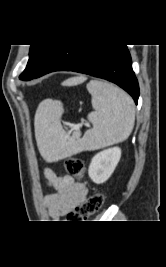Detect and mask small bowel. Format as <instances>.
Segmentation results:
<instances>
[{"label": "small bowel", "mask_w": 166, "mask_h": 267, "mask_svg": "<svg viewBox=\"0 0 166 267\" xmlns=\"http://www.w3.org/2000/svg\"><path fill=\"white\" fill-rule=\"evenodd\" d=\"M43 177L55 193L46 197L49 214L58 218L79 206L87 196V188L69 176L57 175L51 168H45Z\"/></svg>", "instance_id": "c3829d8e"}]
</instances>
